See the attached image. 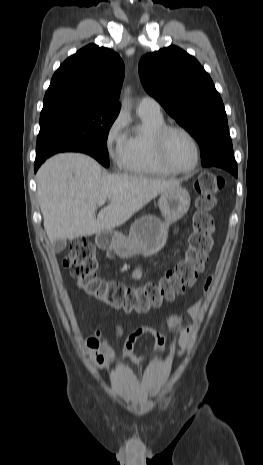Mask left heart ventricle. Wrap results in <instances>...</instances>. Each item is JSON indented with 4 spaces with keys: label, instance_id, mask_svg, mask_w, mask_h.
Wrapping results in <instances>:
<instances>
[{
    "label": "left heart ventricle",
    "instance_id": "1",
    "mask_svg": "<svg viewBox=\"0 0 263 465\" xmlns=\"http://www.w3.org/2000/svg\"><path fill=\"white\" fill-rule=\"evenodd\" d=\"M166 155L173 166L187 169L195 161V148L190 139L184 134L172 132L166 141Z\"/></svg>",
    "mask_w": 263,
    "mask_h": 465
}]
</instances>
